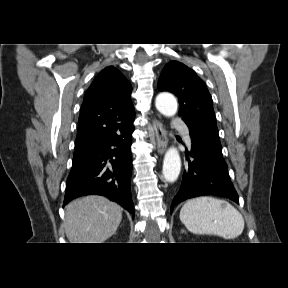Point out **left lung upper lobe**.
<instances>
[{"mask_svg":"<svg viewBox=\"0 0 288 288\" xmlns=\"http://www.w3.org/2000/svg\"><path fill=\"white\" fill-rule=\"evenodd\" d=\"M158 89L172 92L179 98V116L190 132L221 147L212 97L192 69L178 61H170L160 75Z\"/></svg>","mask_w":288,"mask_h":288,"instance_id":"left-lung-upper-lobe-1","label":"left lung upper lobe"}]
</instances>
